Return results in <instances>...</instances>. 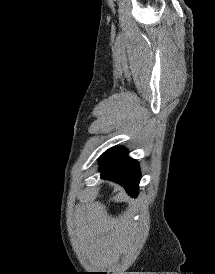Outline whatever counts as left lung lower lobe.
I'll list each match as a JSON object with an SVG mask.
<instances>
[{"mask_svg": "<svg viewBox=\"0 0 215 274\" xmlns=\"http://www.w3.org/2000/svg\"><path fill=\"white\" fill-rule=\"evenodd\" d=\"M101 178L121 184L129 195L136 197L140 181L138 163L127 156L123 147L110 148L100 157Z\"/></svg>", "mask_w": 215, "mask_h": 274, "instance_id": "obj_1", "label": "left lung lower lobe"}]
</instances>
